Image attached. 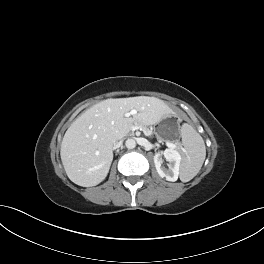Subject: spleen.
Here are the masks:
<instances>
[{
	"instance_id": "obj_1",
	"label": "spleen",
	"mask_w": 264,
	"mask_h": 264,
	"mask_svg": "<svg viewBox=\"0 0 264 264\" xmlns=\"http://www.w3.org/2000/svg\"><path fill=\"white\" fill-rule=\"evenodd\" d=\"M181 137L186 152L180 166V179L188 182L199 173L206 157V148L200 134L187 123L181 127Z\"/></svg>"
}]
</instances>
